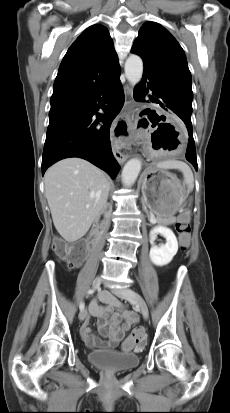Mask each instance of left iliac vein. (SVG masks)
<instances>
[{"label":"left iliac vein","instance_id":"left-iliac-vein-1","mask_svg":"<svg viewBox=\"0 0 230 413\" xmlns=\"http://www.w3.org/2000/svg\"><path fill=\"white\" fill-rule=\"evenodd\" d=\"M112 293L115 294L119 298L126 299L129 302L136 304L139 307L142 316L145 319H148L149 310H148L147 304L145 300L143 299V297L140 294H138L136 291L130 288H114L112 289Z\"/></svg>","mask_w":230,"mask_h":413}]
</instances>
